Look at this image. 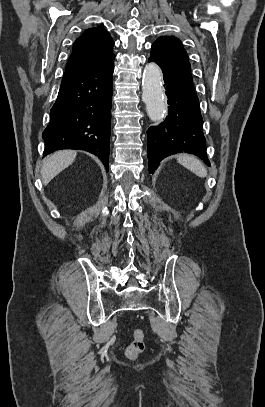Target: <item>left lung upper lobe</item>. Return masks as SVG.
I'll use <instances>...</instances> for the list:
<instances>
[{
  "label": "left lung upper lobe",
  "instance_id": "obj_1",
  "mask_svg": "<svg viewBox=\"0 0 265 407\" xmlns=\"http://www.w3.org/2000/svg\"><path fill=\"white\" fill-rule=\"evenodd\" d=\"M150 58L157 63L163 71L193 84L191 66L188 55L181 41L173 36H161L151 48Z\"/></svg>",
  "mask_w": 265,
  "mask_h": 407
}]
</instances>
